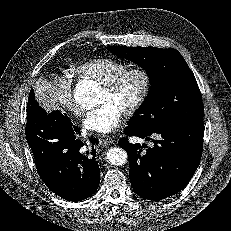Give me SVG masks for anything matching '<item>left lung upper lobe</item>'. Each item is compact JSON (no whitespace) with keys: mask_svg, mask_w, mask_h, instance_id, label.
Masks as SVG:
<instances>
[{"mask_svg":"<svg viewBox=\"0 0 231 231\" xmlns=\"http://www.w3.org/2000/svg\"><path fill=\"white\" fill-rule=\"evenodd\" d=\"M110 51L144 67L152 88L128 128H169L203 119L201 93L186 61L175 49L111 46Z\"/></svg>","mask_w":231,"mask_h":231,"instance_id":"5c2ea615","label":"left lung upper lobe"}]
</instances>
